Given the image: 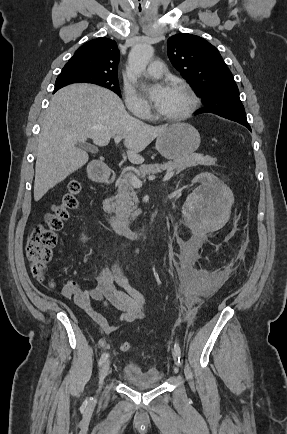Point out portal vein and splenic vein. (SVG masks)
Instances as JSON below:
<instances>
[{"label":"portal vein and splenic vein","mask_w":287,"mask_h":434,"mask_svg":"<svg viewBox=\"0 0 287 434\" xmlns=\"http://www.w3.org/2000/svg\"><path fill=\"white\" fill-rule=\"evenodd\" d=\"M122 140L121 136L115 137V143L118 144ZM174 175V171L172 169L167 170L165 176L163 177V181H168ZM131 184L133 187L140 188L142 187V181L136 176L131 177Z\"/></svg>","instance_id":"1"}]
</instances>
